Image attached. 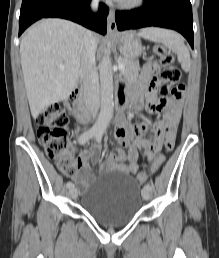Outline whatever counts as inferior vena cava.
<instances>
[{"label": "inferior vena cava", "instance_id": "obj_1", "mask_svg": "<svg viewBox=\"0 0 219 258\" xmlns=\"http://www.w3.org/2000/svg\"><path fill=\"white\" fill-rule=\"evenodd\" d=\"M99 0H93L92 10L96 11ZM97 42L93 32L86 31L83 37L80 76L83 82L85 105L92 116L100 107L99 78L95 66Z\"/></svg>", "mask_w": 219, "mask_h": 258}]
</instances>
